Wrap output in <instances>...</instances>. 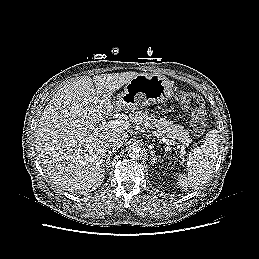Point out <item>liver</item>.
<instances>
[{
    "instance_id": "6515ba94",
    "label": "liver",
    "mask_w": 259,
    "mask_h": 259,
    "mask_svg": "<svg viewBox=\"0 0 259 259\" xmlns=\"http://www.w3.org/2000/svg\"><path fill=\"white\" fill-rule=\"evenodd\" d=\"M139 73L123 72L84 77L56 92L40 117L34 146L47 177L72 193L97 189L104 180L107 140L128 134L122 129L91 133L121 106L111 95ZM95 84V86H94Z\"/></svg>"
}]
</instances>
